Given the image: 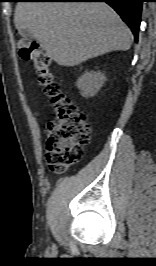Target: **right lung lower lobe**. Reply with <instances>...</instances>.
Returning <instances> with one entry per match:
<instances>
[{
  "label": "right lung lower lobe",
  "mask_w": 156,
  "mask_h": 266,
  "mask_svg": "<svg viewBox=\"0 0 156 266\" xmlns=\"http://www.w3.org/2000/svg\"><path fill=\"white\" fill-rule=\"evenodd\" d=\"M34 2H106L108 3L127 23L132 30L135 40L141 21V10L143 0H30Z\"/></svg>",
  "instance_id": "obj_1"
}]
</instances>
